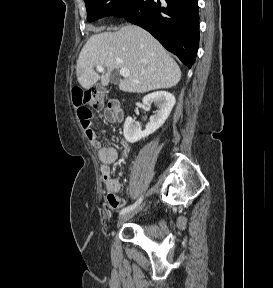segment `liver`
<instances>
[{
	"mask_svg": "<svg viewBox=\"0 0 273 288\" xmlns=\"http://www.w3.org/2000/svg\"><path fill=\"white\" fill-rule=\"evenodd\" d=\"M82 48L76 66L77 80L84 89H90L101 80L102 86L110 82L114 70L126 68L129 77L119 89L129 93H146L171 88L180 81L181 70L164 47L146 30L126 25L116 32L95 30ZM106 67L101 76L94 70Z\"/></svg>",
	"mask_w": 273,
	"mask_h": 288,
	"instance_id": "liver-1",
	"label": "liver"
}]
</instances>
